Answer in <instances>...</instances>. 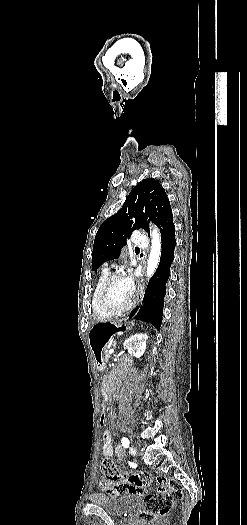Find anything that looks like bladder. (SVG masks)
I'll return each instance as SVG.
<instances>
[{
  "instance_id": "obj_1",
  "label": "bladder",
  "mask_w": 247,
  "mask_h": 525,
  "mask_svg": "<svg viewBox=\"0 0 247 525\" xmlns=\"http://www.w3.org/2000/svg\"><path fill=\"white\" fill-rule=\"evenodd\" d=\"M94 504L105 510L111 517H122L128 515L131 510L141 507V502L136 495L120 494L116 497H110L107 494L95 495Z\"/></svg>"
}]
</instances>
